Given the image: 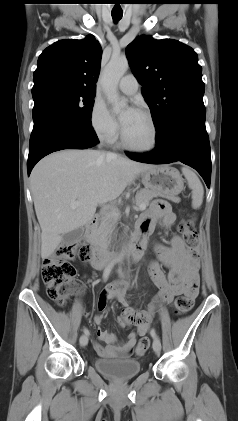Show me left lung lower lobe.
<instances>
[{"mask_svg":"<svg viewBox=\"0 0 238 421\" xmlns=\"http://www.w3.org/2000/svg\"><path fill=\"white\" fill-rule=\"evenodd\" d=\"M156 143L151 153L126 154L132 160L149 164L180 161L196 169L210 187L211 156L205 110L186 112L175 118L170 126L156 136Z\"/></svg>","mask_w":238,"mask_h":421,"instance_id":"0a47b994","label":"left lung lower lobe"}]
</instances>
